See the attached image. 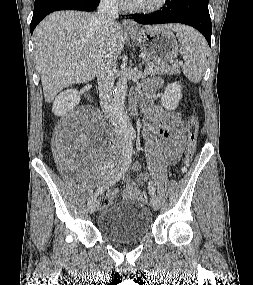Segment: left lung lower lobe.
Returning a JSON list of instances; mask_svg holds the SVG:
<instances>
[{"label":"left lung lower lobe","instance_id":"left-lung-lower-lobe-1","mask_svg":"<svg viewBox=\"0 0 253 285\" xmlns=\"http://www.w3.org/2000/svg\"><path fill=\"white\" fill-rule=\"evenodd\" d=\"M142 24L183 23L200 31L211 46L212 24L208 0H167L162 10L152 14H134Z\"/></svg>","mask_w":253,"mask_h":285}]
</instances>
